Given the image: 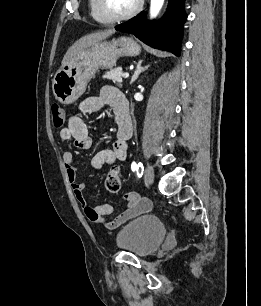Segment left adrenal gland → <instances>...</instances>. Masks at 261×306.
<instances>
[{"mask_svg": "<svg viewBox=\"0 0 261 306\" xmlns=\"http://www.w3.org/2000/svg\"><path fill=\"white\" fill-rule=\"evenodd\" d=\"M141 64H142V60H140L138 62L137 66H136V69H135V72H134V75L132 76V79L130 81V84L134 83L137 80V78L139 77V75L141 73H143L145 70H147L148 67H149V65H147L145 67H142Z\"/></svg>", "mask_w": 261, "mask_h": 306, "instance_id": "1", "label": "left adrenal gland"}]
</instances>
